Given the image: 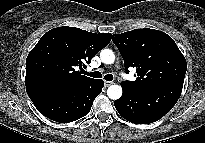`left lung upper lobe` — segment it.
I'll return each instance as SVG.
<instances>
[{"label": "left lung upper lobe", "mask_w": 205, "mask_h": 143, "mask_svg": "<svg viewBox=\"0 0 205 143\" xmlns=\"http://www.w3.org/2000/svg\"><path fill=\"white\" fill-rule=\"evenodd\" d=\"M126 72L135 67V81H123L122 86L132 90H145L167 85L183 86L186 60L174 40L164 32L154 29H134L113 34Z\"/></svg>", "instance_id": "left-lung-upper-lobe-1"}]
</instances>
